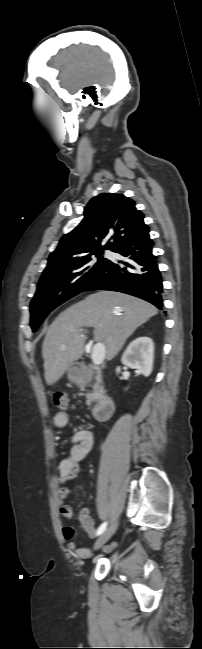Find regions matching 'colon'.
I'll return each mask as SVG.
<instances>
[{
  "label": "colon",
  "mask_w": 202,
  "mask_h": 649,
  "mask_svg": "<svg viewBox=\"0 0 202 649\" xmlns=\"http://www.w3.org/2000/svg\"><path fill=\"white\" fill-rule=\"evenodd\" d=\"M53 401L56 407L66 408L68 403V395L63 391L55 392L53 394Z\"/></svg>",
  "instance_id": "1"
}]
</instances>
